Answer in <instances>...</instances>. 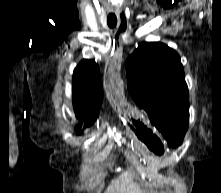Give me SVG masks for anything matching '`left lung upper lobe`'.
<instances>
[{
  "mask_svg": "<svg viewBox=\"0 0 221 193\" xmlns=\"http://www.w3.org/2000/svg\"><path fill=\"white\" fill-rule=\"evenodd\" d=\"M128 90L171 147L179 146L189 123V94L177 52L143 42L126 61Z\"/></svg>",
  "mask_w": 221,
  "mask_h": 193,
  "instance_id": "5c2ea615",
  "label": "left lung upper lobe"
}]
</instances>
